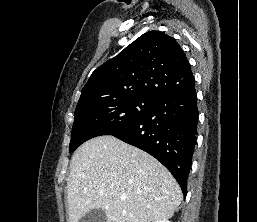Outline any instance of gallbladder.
Returning a JSON list of instances; mask_svg holds the SVG:
<instances>
[{
  "mask_svg": "<svg viewBox=\"0 0 257 222\" xmlns=\"http://www.w3.org/2000/svg\"><path fill=\"white\" fill-rule=\"evenodd\" d=\"M79 222H107V216L104 210L94 209L84 215Z\"/></svg>",
  "mask_w": 257,
  "mask_h": 222,
  "instance_id": "obj_1",
  "label": "gallbladder"
}]
</instances>
